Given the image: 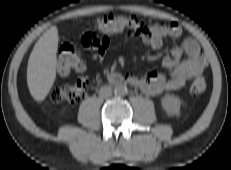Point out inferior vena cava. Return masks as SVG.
<instances>
[{
	"instance_id": "inferior-vena-cava-1",
	"label": "inferior vena cava",
	"mask_w": 231,
	"mask_h": 170,
	"mask_svg": "<svg viewBox=\"0 0 231 170\" xmlns=\"http://www.w3.org/2000/svg\"><path fill=\"white\" fill-rule=\"evenodd\" d=\"M112 95V88L109 86H102L99 90V96L106 98Z\"/></svg>"
}]
</instances>
